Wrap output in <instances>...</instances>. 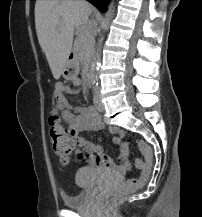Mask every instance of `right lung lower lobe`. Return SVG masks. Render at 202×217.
<instances>
[{
    "label": "right lung lower lobe",
    "mask_w": 202,
    "mask_h": 217,
    "mask_svg": "<svg viewBox=\"0 0 202 217\" xmlns=\"http://www.w3.org/2000/svg\"><path fill=\"white\" fill-rule=\"evenodd\" d=\"M89 1L91 4H93L98 10L100 11H104L106 8V3L108 2V0H87Z\"/></svg>",
    "instance_id": "98d812e1"
}]
</instances>
